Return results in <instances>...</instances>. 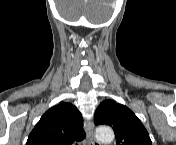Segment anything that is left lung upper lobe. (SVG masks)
<instances>
[{
	"mask_svg": "<svg viewBox=\"0 0 176 145\" xmlns=\"http://www.w3.org/2000/svg\"><path fill=\"white\" fill-rule=\"evenodd\" d=\"M94 123L113 127L117 145H152L147 130L136 115L112 100L100 103L95 111Z\"/></svg>",
	"mask_w": 176,
	"mask_h": 145,
	"instance_id": "left-lung-upper-lobe-1",
	"label": "left lung upper lobe"
}]
</instances>
